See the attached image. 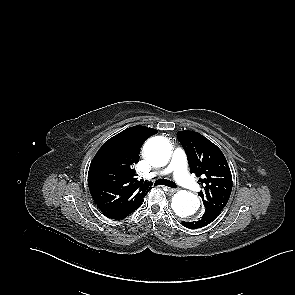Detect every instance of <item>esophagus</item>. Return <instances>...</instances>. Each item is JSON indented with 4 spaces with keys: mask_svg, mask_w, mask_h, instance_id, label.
Here are the masks:
<instances>
[{
    "mask_svg": "<svg viewBox=\"0 0 295 295\" xmlns=\"http://www.w3.org/2000/svg\"><path fill=\"white\" fill-rule=\"evenodd\" d=\"M170 193H175L178 189L176 188H167Z\"/></svg>",
    "mask_w": 295,
    "mask_h": 295,
    "instance_id": "1",
    "label": "esophagus"
}]
</instances>
